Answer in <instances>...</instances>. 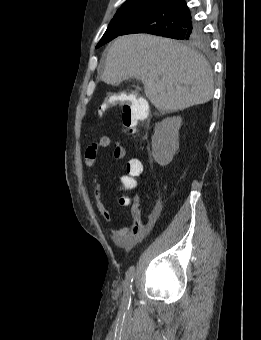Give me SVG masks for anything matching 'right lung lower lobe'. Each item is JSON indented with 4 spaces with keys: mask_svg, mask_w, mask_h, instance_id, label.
<instances>
[{
    "mask_svg": "<svg viewBox=\"0 0 261 340\" xmlns=\"http://www.w3.org/2000/svg\"><path fill=\"white\" fill-rule=\"evenodd\" d=\"M196 24L185 0H161L158 5L138 19L121 35L150 33L172 38Z\"/></svg>",
    "mask_w": 261,
    "mask_h": 340,
    "instance_id": "98d812e1",
    "label": "right lung lower lobe"
}]
</instances>
